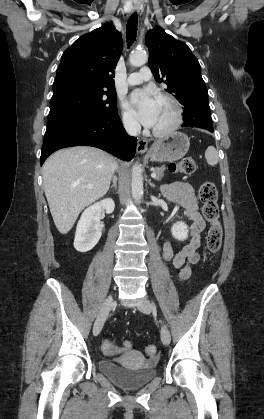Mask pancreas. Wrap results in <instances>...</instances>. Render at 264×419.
Listing matches in <instances>:
<instances>
[{
    "label": "pancreas",
    "instance_id": "pancreas-1",
    "mask_svg": "<svg viewBox=\"0 0 264 419\" xmlns=\"http://www.w3.org/2000/svg\"><path fill=\"white\" fill-rule=\"evenodd\" d=\"M165 170V167H160V168H155L154 172L156 173V180H161V178L163 177V172Z\"/></svg>",
    "mask_w": 264,
    "mask_h": 419
}]
</instances>
